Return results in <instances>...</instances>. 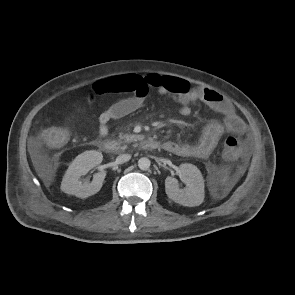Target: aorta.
Returning <instances> with one entry per match:
<instances>
[{"instance_id":"aorta-1","label":"aorta","mask_w":295,"mask_h":295,"mask_svg":"<svg viewBox=\"0 0 295 295\" xmlns=\"http://www.w3.org/2000/svg\"><path fill=\"white\" fill-rule=\"evenodd\" d=\"M151 165V162L148 158L146 157H142L138 160V167L141 169V170H147L149 169Z\"/></svg>"}]
</instances>
